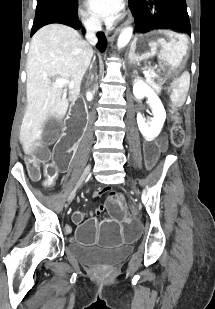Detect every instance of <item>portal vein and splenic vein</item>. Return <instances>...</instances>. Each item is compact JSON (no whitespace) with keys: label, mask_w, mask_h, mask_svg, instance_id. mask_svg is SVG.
<instances>
[{"label":"portal vein and splenic vein","mask_w":215,"mask_h":309,"mask_svg":"<svg viewBox=\"0 0 215 309\" xmlns=\"http://www.w3.org/2000/svg\"><path fill=\"white\" fill-rule=\"evenodd\" d=\"M145 76H148L149 72L147 70H143ZM68 80L66 78H55V82H53V86H65Z\"/></svg>","instance_id":"1"}]
</instances>
